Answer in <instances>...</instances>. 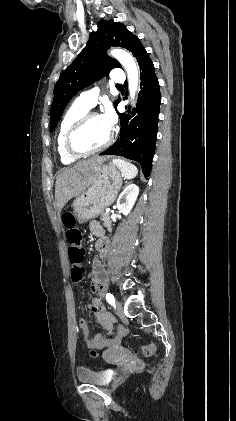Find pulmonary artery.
Wrapping results in <instances>:
<instances>
[{
	"mask_svg": "<svg viewBox=\"0 0 236 421\" xmlns=\"http://www.w3.org/2000/svg\"><path fill=\"white\" fill-rule=\"evenodd\" d=\"M125 72L123 69H113L110 72L109 80L112 83L111 86H121L125 81ZM99 88L95 87L89 91L82 93L75 101L80 107L85 110L93 108L98 99Z\"/></svg>",
	"mask_w": 236,
	"mask_h": 421,
	"instance_id": "obj_1",
	"label": "pulmonary artery"
}]
</instances>
